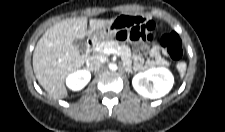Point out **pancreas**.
Returning a JSON list of instances; mask_svg holds the SVG:
<instances>
[{
    "instance_id": "cf45deb5",
    "label": "pancreas",
    "mask_w": 225,
    "mask_h": 132,
    "mask_svg": "<svg viewBox=\"0 0 225 132\" xmlns=\"http://www.w3.org/2000/svg\"><path fill=\"white\" fill-rule=\"evenodd\" d=\"M106 48H113L118 50L121 53V58L127 67H131L132 62H131V50L130 48L122 44L120 45L117 41L113 40H106L98 43L95 47V51L98 52L99 54H103V50ZM161 65L163 66H169V62L166 60H162Z\"/></svg>"
}]
</instances>
